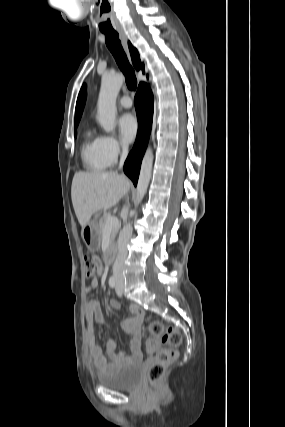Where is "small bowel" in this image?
<instances>
[{
	"label": "small bowel",
	"instance_id": "1",
	"mask_svg": "<svg viewBox=\"0 0 285 427\" xmlns=\"http://www.w3.org/2000/svg\"><path fill=\"white\" fill-rule=\"evenodd\" d=\"M93 260L97 264L96 273L101 275L103 270L101 260L98 257H94ZM98 284V278L93 277L87 285L86 291H92L93 289L97 288ZM108 305L113 309L121 308V303L117 300H110ZM130 312L132 317H128L121 322L122 329L131 336L129 343V354L123 351H117L116 342L114 338H111L105 342L106 355L110 360V362H108L101 348L96 342L93 331V321L105 325L101 305L97 299L88 300L85 309V319L87 321V344L90 357L99 371L110 373L119 367L139 361L142 358L140 330L144 316V310L139 306L132 305L130 307Z\"/></svg>",
	"mask_w": 285,
	"mask_h": 427
}]
</instances>
